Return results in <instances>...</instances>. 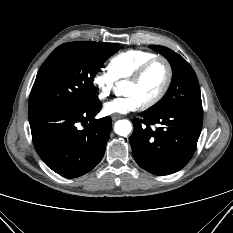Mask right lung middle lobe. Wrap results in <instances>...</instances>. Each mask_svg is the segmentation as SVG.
Returning a JSON list of instances; mask_svg holds the SVG:
<instances>
[{"mask_svg": "<svg viewBox=\"0 0 233 233\" xmlns=\"http://www.w3.org/2000/svg\"><path fill=\"white\" fill-rule=\"evenodd\" d=\"M118 49L115 43L90 41L57 47L38 71L29 97V113L76 109L92 103L97 98L94 77Z\"/></svg>", "mask_w": 233, "mask_h": 233, "instance_id": "obj_1", "label": "right lung middle lobe"}]
</instances>
